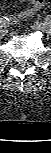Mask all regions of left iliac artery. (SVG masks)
Listing matches in <instances>:
<instances>
[{"instance_id":"1","label":"left iliac artery","mask_w":51,"mask_h":153,"mask_svg":"<svg viewBox=\"0 0 51 153\" xmlns=\"http://www.w3.org/2000/svg\"><path fill=\"white\" fill-rule=\"evenodd\" d=\"M46 21L48 22V24L51 23V16H50V15H48V16L46 17Z\"/></svg>"}]
</instances>
